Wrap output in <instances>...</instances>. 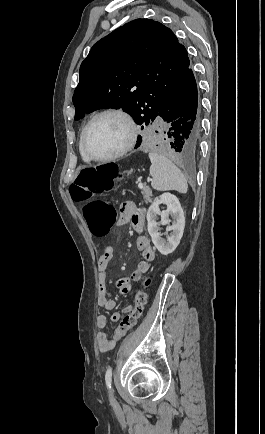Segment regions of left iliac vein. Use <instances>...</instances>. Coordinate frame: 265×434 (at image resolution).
<instances>
[{
  "label": "left iliac vein",
  "instance_id": "obj_1",
  "mask_svg": "<svg viewBox=\"0 0 265 434\" xmlns=\"http://www.w3.org/2000/svg\"><path fill=\"white\" fill-rule=\"evenodd\" d=\"M109 397H110L111 403H114L115 400H114L113 396L111 395V393H110Z\"/></svg>",
  "mask_w": 265,
  "mask_h": 434
}]
</instances>
